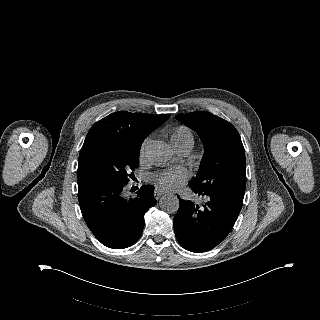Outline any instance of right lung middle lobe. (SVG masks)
Returning <instances> with one entry per match:
<instances>
[{"label":"right lung middle lobe","instance_id":"right-lung-middle-lobe-1","mask_svg":"<svg viewBox=\"0 0 320 320\" xmlns=\"http://www.w3.org/2000/svg\"><path fill=\"white\" fill-rule=\"evenodd\" d=\"M141 144L135 146H100L90 151L80 168L84 175H95L118 183H128L129 170L139 165Z\"/></svg>","mask_w":320,"mask_h":320}]
</instances>
